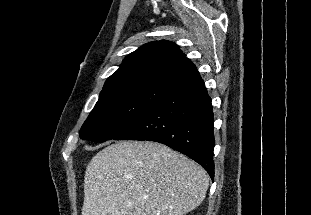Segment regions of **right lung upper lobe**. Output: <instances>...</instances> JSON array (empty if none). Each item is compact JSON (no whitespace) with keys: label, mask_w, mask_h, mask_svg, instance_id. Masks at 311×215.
<instances>
[{"label":"right lung upper lobe","mask_w":311,"mask_h":215,"mask_svg":"<svg viewBox=\"0 0 311 215\" xmlns=\"http://www.w3.org/2000/svg\"><path fill=\"white\" fill-rule=\"evenodd\" d=\"M196 69L177 44L168 40L153 41L125 57L103 90L127 84H171Z\"/></svg>","instance_id":"right-lung-upper-lobe-1"}]
</instances>
